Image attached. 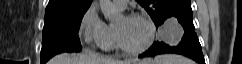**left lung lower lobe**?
<instances>
[{
  "label": "left lung lower lobe",
  "mask_w": 242,
  "mask_h": 64,
  "mask_svg": "<svg viewBox=\"0 0 242 64\" xmlns=\"http://www.w3.org/2000/svg\"><path fill=\"white\" fill-rule=\"evenodd\" d=\"M171 17L177 19L184 29V35L180 43L172 47L164 42H154V44L146 52L139 55V57L143 58L164 53H176L189 57L198 62V64H205L202 48L193 25L192 9H184Z\"/></svg>",
  "instance_id": "0a47b994"
}]
</instances>
